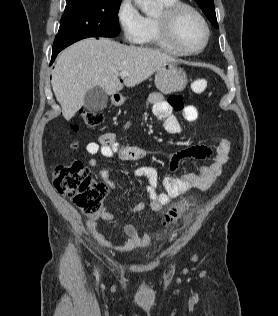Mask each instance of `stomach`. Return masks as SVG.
Wrapping results in <instances>:
<instances>
[{"label":"stomach","instance_id":"0dacf381","mask_svg":"<svg viewBox=\"0 0 278 316\" xmlns=\"http://www.w3.org/2000/svg\"><path fill=\"white\" fill-rule=\"evenodd\" d=\"M186 73L178 68L175 63H167L161 66L155 74V85L163 94L182 91L187 85ZM123 97L113 100L115 105H121L124 102Z\"/></svg>","mask_w":278,"mask_h":316}]
</instances>
